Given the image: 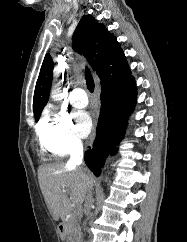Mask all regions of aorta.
<instances>
[{
	"label": "aorta",
	"instance_id": "762f6f07",
	"mask_svg": "<svg viewBox=\"0 0 187 242\" xmlns=\"http://www.w3.org/2000/svg\"><path fill=\"white\" fill-rule=\"evenodd\" d=\"M59 96H60V94H59V88H58V84H57L51 91V98L54 101H57L59 99Z\"/></svg>",
	"mask_w": 187,
	"mask_h": 242
}]
</instances>
